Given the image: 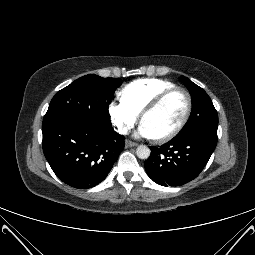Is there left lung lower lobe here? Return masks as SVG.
<instances>
[{"label": "left lung lower lobe", "instance_id": "1", "mask_svg": "<svg viewBox=\"0 0 255 255\" xmlns=\"http://www.w3.org/2000/svg\"><path fill=\"white\" fill-rule=\"evenodd\" d=\"M216 144L217 136L207 134L173 138L160 148L151 147L145 170L161 186L183 185L200 174Z\"/></svg>", "mask_w": 255, "mask_h": 255}]
</instances>
